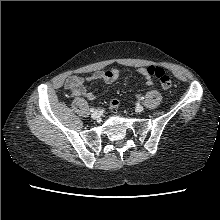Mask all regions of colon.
<instances>
[{
  "label": "colon",
  "instance_id": "5ec220e1",
  "mask_svg": "<svg viewBox=\"0 0 220 220\" xmlns=\"http://www.w3.org/2000/svg\"><path fill=\"white\" fill-rule=\"evenodd\" d=\"M147 72L150 76L159 80L161 87L164 90H169L172 87V80L170 76L158 66H150L147 68ZM120 105V101L116 98L112 99L109 103L111 110H116Z\"/></svg>",
  "mask_w": 220,
  "mask_h": 220
}]
</instances>
